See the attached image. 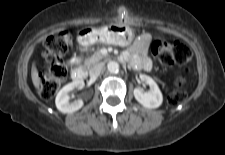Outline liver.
I'll use <instances>...</instances> for the list:
<instances>
[{
  "mask_svg": "<svg viewBox=\"0 0 225 155\" xmlns=\"http://www.w3.org/2000/svg\"><path fill=\"white\" fill-rule=\"evenodd\" d=\"M32 81H33V84L36 88H39V85H40V79H39V76H38V72H37V69L36 67H33L32 68Z\"/></svg>",
  "mask_w": 225,
  "mask_h": 155,
  "instance_id": "6515ba94",
  "label": "liver"
}]
</instances>
